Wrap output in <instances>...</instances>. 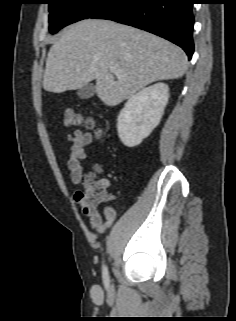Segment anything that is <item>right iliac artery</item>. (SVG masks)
Segmentation results:
<instances>
[{"label": "right iliac artery", "mask_w": 236, "mask_h": 321, "mask_svg": "<svg viewBox=\"0 0 236 321\" xmlns=\"http://www.w3.org/2000/svg\"><path fill=\"white\" fill-rule=\"evenodd\" d=\"M102 274H103L104 285L106 288H108L109 287V274H108V269L106 266L103 267Z\"/></svg>", "instance_id": "82829eb1"}]
</instances>
